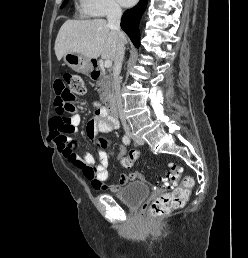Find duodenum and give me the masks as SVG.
<instances>
[{
	"label": "duodenum",
	"instance_id": "1",
	"mask_svg": "<svg viewBox=\"0 0 248 258\" xmlns=\"http://www.w3.org/2000/svg\"><path fill=\"white\" fill-rule=\"evenodd\" d=\"M97 74L94 73V76H96ZM106 110L109 113V115L111 116L112 119H115L117 117V108H116V103L114 98L110 97L107 101H106Z\"/></svg>",
	"mask_w": 248,
	"mask_h": 258
}]
</instances>
